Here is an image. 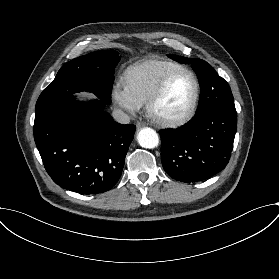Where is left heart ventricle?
I'll return each instance as SVG.
<instances>
[{
    "instance_id": "obj_1",
    "label": "left heart ventricle",
    "mask_w": 279,
    "mask_h": 279,
    "mask_svg": "<svg viewBox=\"0 0 279 279\" xmlns=\"http://www.w3.org/2000/svg\"><path fill=\"white\" fill-rule=\"evenodd\" d=\"M193 93V78L187 73L177 76L157 104V113L164 118L179 116L191 102Z\"/></svg>"
}]
</instances>
